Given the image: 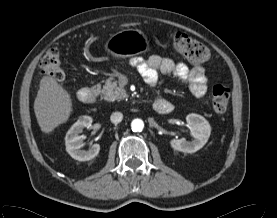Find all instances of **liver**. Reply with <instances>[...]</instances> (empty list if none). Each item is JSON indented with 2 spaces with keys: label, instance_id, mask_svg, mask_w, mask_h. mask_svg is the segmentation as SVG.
I'll return each mask as SVG.
<instances>
[{
  "label": "liver",
  "instance_id": "obj_1",
  "mask_svg": "<svg viewBox=\"0 0 277 218\" xmlns=\"http://www.w3.org/2000/svg\"><path fill=\"white\" fill-rule=\"evenodd\" d=\"M39 86L34 112L41 131L50 133L68 120L72 112V100L70 94L49 76L42 77Z\"/></svg>",
  "mask_w": 277,
  "mask_h": 218
}]
</instances>
